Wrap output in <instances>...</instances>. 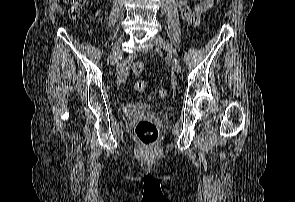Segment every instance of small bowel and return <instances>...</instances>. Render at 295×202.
Instances as JSON below:
<instances>
[{
    "mask_svg": "<svg viewBox=\"0 0 295 202\" xmlns=\"http://www.w3.org/2000/svg\"><path fill=\"white\" fill-rule=\"evenodd\" d=\"M178 6L184 18L188 21L197 23L201 15L213 6V0H200L194 9H191L187 0H178ZM128 62L122 63L117 71L118 86H123L127 77Z\"/></svg>",
    "mask_w": 295,
    "mask_h": 202,
    "instance_id": "c3829d8e",
    "label": "small bowel"
}]
</instances>
